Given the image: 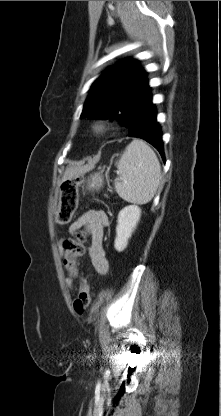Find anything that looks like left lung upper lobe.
<instances>
[{
	"instance_id": "obj_1",
	"label": "left lung upper lobe",
	"mask_w": 221,
	"mask_h": 416,
	"mask_svg": "<svg viewBox=\"0 0 221 416\" xmlns=\"http://www.w3.org/2000/svg\"><path fill=\"white\" fill-rule=\"evenodd\" d=\"M139 61L126 59L108 68L91 86L81 118H116L128 128L138 105L150 95Z\"/></svg>"
}]
</instances>
